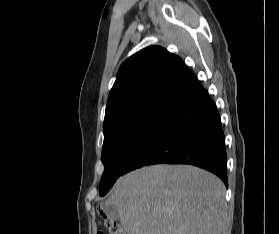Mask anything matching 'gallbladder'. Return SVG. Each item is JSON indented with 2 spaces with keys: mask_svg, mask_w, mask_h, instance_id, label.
I'll return each mask as SVG.
<instances>
[{
  "mask_svg": "<svg viewBox=\"0 0 279 234\" xmlns=\"http://www.w3.org/2000/svg\"><path fill=\"white\" fill-rule=\"evenodd\" d=\"M104 212L105 214L112 220H118L119 219V212L115 205H108L104 206Z\"/></svg>",
  "mask_w": 279,
  "mask_h": 234,
  "instance_id": "1",
  "label": "gallbladder"
}]
</instances>
